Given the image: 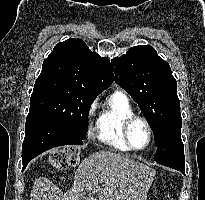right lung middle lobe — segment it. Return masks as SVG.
Segmentation results:
<instances>
[{"label":"right lung middle lobe","mask_w":205,"mask_h":200,"mask_svg":"<svg viewBox=\"0 0 205 200\" xmlns=\"http://www.w3.org/2000/svg\"><path fill=\"white\" fill-rule=\"evenodd\" d=\"M96 96L58 80H36L30 98V111L45 114L83 140L87 133L89 109Z\"/></svg>","instance_id":"dd1d6c3e"}]
</instances>
